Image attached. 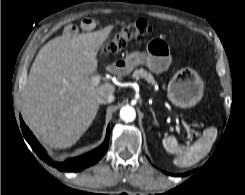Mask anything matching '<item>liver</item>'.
I'll list each match as a JSON object with an SVG mask.
<instances>
[{"mask_svg":"<svg viewBox=\"0 0 245 195\" xmlns=\"http://www.w3.org/2000/svg\"><path fill=\"white\" fill-rule=\"evenodd\" d=\"M112 26L75 37L59 36L38 52L22 93V116L27 126L50 148L75 144L93 122L102 94L115 87L95 86L97 53Z\"/></svg>","mask_w":245,"mask_h":195,"instance_id":"liver-1","label":"liver"}]
</instances>
